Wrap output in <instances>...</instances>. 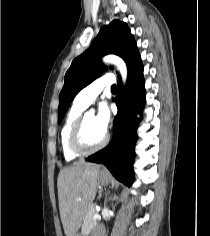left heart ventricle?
Listing matches in <instances>:
<instances>
[{
    "label": "left heart ventricle",
    "mask_w": 210,
    "mask_h": 236,
    "mask_svg": "<svg viewBox=\"0 0 210 236\" xmlns=\"http://www.w3.org/2000/svg\"><path fill=\"white\" fill-rule=\"evenodd\" d=\"M105 132L100 130L95 122H94V115L93 114H88L85 120V125H84V139L88 145H96L104 137Z\"/></svg>",
    "instance_id": "obj_1"
}]
</instances>
